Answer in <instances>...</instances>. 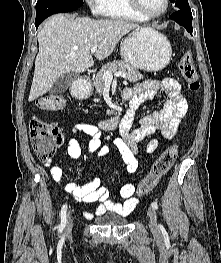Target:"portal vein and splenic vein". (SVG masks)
<instances>
[{
	"label": "portal vein and splenic vein",
	"instance_id": "18ae733b",
	"mask_svg": "<svg viewBox=\"0 0 221 263\" xmlns=\"http://www.w3.org/2000/svg\"><path fill=\"white\" fill-rule=\"evenodd\" d=\"M97 49H98L97 46H93L91 48V53H95L97 51ZM113 76L114 77H122L124 79H127V75L125 73H122V72H115L114 74H112V72L106 71L103 74V78H104L105 82H111L113 80Z\"/></svg>",
	"mask_w": 221,
	"mask_h": 263
}]
</instances>
